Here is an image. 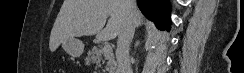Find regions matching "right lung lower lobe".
Listing matches in <instances>:
<instances>
[{"mask_svg": "<svg viewBox=\"0 0 244 73\" xmlns=\"http://www.w3.org/2000/svg\"><path fill=\"white\" fill-rule=\"evenodd\" d=\"M142 13L160 29H169L170 12L167 0H137Z\"/></svg>", "mask_w": 244, "mask_h": 73, "instance_id": "obj_1", "label": "right lung lower lobe"}]
</instances>
